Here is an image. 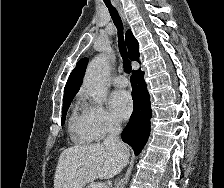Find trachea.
Here are the masks:
<instances>
[{
    "label": "trachea",
    "instance_id": "trachea-1",
    "mask_svg": "<svg viewBox=\"0 0 224 188\" xmlns=\"http://www.w3.org/2000/svg\"><path fill=\"white\" fill-rule=\"evenodd\" d=\"M110 15L113 19V22L118 30V46H119V50H120V54L123 58V67L126 73H130L132 70L131 67V63L127 58V54H126V47L124 44V40H123V24L121 21V18L117 12V10L110 4V3H105Z\"/></svg>",
    "mask_w": 224,
    "mask_h": 188
}]
</instances>
